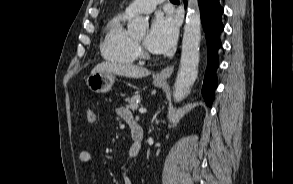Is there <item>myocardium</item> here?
<instances>
[{
    "mask_svg": "<svg viewBox=\"0 0 293 184\" xmlns=\"http://www.w3.org/2000/svg\"><path fill=\"white\" fill-rule=\"evenodd\" d=\"M134 42H135V46L137 49L138 57H140L141 59H144V60L151 59V54L147 51V49L144 47V45L142 43H140L139 41H137L136 39H134Z\"/></svg>",
    "mask_w": 293,
    "mask_h": 184,
    "instance_id": "obj_1",
    "label": "myocardium"
}]
</instances>
